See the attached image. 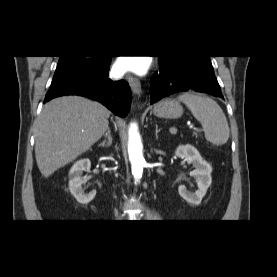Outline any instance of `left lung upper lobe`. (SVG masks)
<instances>
[{"mask_svg": "<svg viewBox=\"0 0 277 277\" xmlns=\"http://www.w3.org/2000/svg\"><path fill=\"white\" fill-rule=\"evenodd\" d=\"M160 62L169 61V60H182L184 62L195 61V62H211L210 56H193V55H179V56H158Z\"/></svg>", "mask_w": 277, "mask_h": 277, "instance_id": "obj_1", "label": "left lung upper lobe"}]
</instances>
